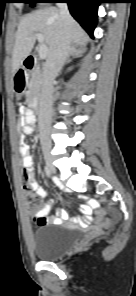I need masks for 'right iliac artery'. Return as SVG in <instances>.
<instances>
[{
    "label": "right iliac artery",
    "mask_w": 136,
    "mask_h": 296,
    "mask_svg": "<svg viewBox=\"0 0 136 296\" xmlns=\"http://www.w3.org/2000/svg\"><path fill=\"white\" fill-rule=\"evenodd\" d=\"M44 170H45V173L47 174V176L49 177L50 176L49 168L47 166H45Z\"/></svg>",
    "instance_id": "obj_1"
}]
</instances>
